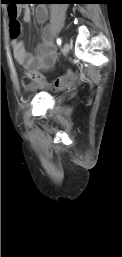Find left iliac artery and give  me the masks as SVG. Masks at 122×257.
<instances>
[{
  "instance_id": "1",
  "label": "left iliac artery",
  "mask_w": 122,
  "mask_h": 257,
  "mask_svg": "<svg viewBox=\"0 0 122 257\" xmlns=\"http://www.w3.org/2000/svg\"><path fill=\"white\" fill-rule=\"evenodd\" d=\"M62 43V40L60 38L57 39V44L60 46Z\"/></svg>"
}]
</instances>
